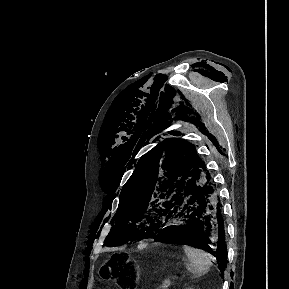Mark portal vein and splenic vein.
Segmentation results:
<instances>
[{"mask_svg": "<svg viewBox=\"0 0 289 289\" xmlns=\"http://www.w3.org/2000/svg\"><path fill=\"white\" fill-rule=\"evenodd\" d=\"M171 285V280L167 279V280H164L161 284V287L163 289H168V287Z\"/></svg>", "mask_w": 289, "mask_h": 289, "instance_id": "18ae733b", "label": "portal vein and splenic vein"}]
</instances>
